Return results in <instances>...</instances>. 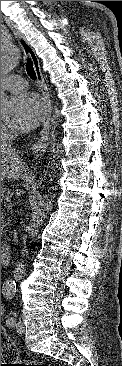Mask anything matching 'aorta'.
I'll list each match as a JSON object with an SVG mask.
<instances>
[{
	"instance_id": "aorta-1",
	"label": "aorta",
	"mask_w": 122,
	"mask_h": 366,
	"mask_svg": "<svg viewBox=\"0 0 122 366\" xmlns=\"http://www.w3.org/2000/svg\"><path fill=\"white\" fill-rule=\"evenodd\" d=\"M22 62V56L18 47L10 41H4L1 43V114L8 112L9 107V97L6 94L3 81L4 78L20 63ZM54 191L57 190L56 186L49 188ZM49 194H45L43 199L38 203V207L34 210L32 214V220L28 227V234L30 238H34L38 232L39 228L44 224L47 218L48 212L52 209V199L49 198Z\"/></svg>"
}]
</instances>
